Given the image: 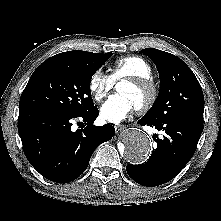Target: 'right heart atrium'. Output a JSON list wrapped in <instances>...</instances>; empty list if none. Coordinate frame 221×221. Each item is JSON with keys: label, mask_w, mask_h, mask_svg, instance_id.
Here are the masks:
<instances>
[{"label": "right heart atrium", "mask_w": 221, "mask_h": 221, "mask_svg": "<svg viewBox=\"0 0 221 221\" xmlns=\"http://www.w3.org/2000/svg\"><path fill=\"white\" fill-rule=\"evenodd\" d=\"M113 79L102 70H96L90 77L88 88L96 101H101L112 90Z\"/></svg>", "instance_id": "obj_1"}]
</instances>
